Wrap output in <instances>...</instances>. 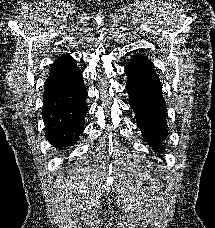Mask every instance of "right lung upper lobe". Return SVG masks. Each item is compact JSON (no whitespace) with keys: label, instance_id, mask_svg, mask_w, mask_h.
<instances>
[{"label":"right lung upper lobe","instance_id":"1","mask_svg":"<svg viewBox=\"0 0 215 228\" xmlns=\"http://www.w3.org/2000/svg\"><path fill=\"white\" fill-rule=\"evenodd\" d=\"M80 75L81 72L77 68L76 62L68 54H63L51 65L47 81L73 79ZM60 88L61 85L49 82L45 88L43 99L55 94Z\"/></svg>","mask_w":215,"mask_h":228}]
</instances>
